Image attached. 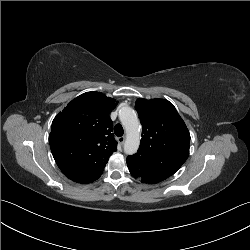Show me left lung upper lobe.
<instances>
[{
    "mask_svg": "<svg viewBox=\"0 0 250 250\" xmlns=\"http://www.w3.org/2000/svg\"><path fill=\"white\" fill-rule=\"evenodd\" d=\"M135 108L142 124L137 153L157 166L177 171L189 156L190 133L176 108L165 99L142 98Z\"/></svg>",
    "mask_w": 250,
    "mask_h": 250,
    "instance_id": "left-lung-upper-lobe-1",
    "label": "left lung upper lobe"
}]
</instances>
